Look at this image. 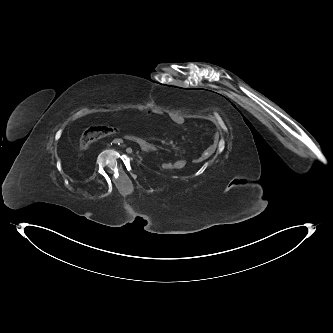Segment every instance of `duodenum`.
<instances>
[{
  "instance_id": "obj_1",
  "label": "duodenum",
  "mask_w": 333,
  "mask_h": 333,
  "mask_svg": "<svg viewBox=\"0 0 333 333\" xmlns=\"http://www.w3.org/2000/svg\"><path fill=\"white\" fill-rule=\"evenodd\" d=\"M130 141L137 144L143 152H154L157 150L155 145L138 137H131Z\"/></svg>"
}]
</instances>
